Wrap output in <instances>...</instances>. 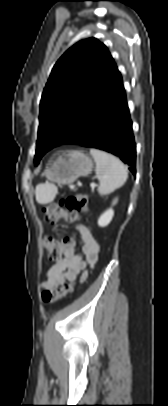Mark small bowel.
Masks as SVG:
<instances>
[{
    "instance_id": "obj_1",
    "label": "small bowel",
    "mask_w": 168,
    "mask_h": 406,
    "mask_svg": "<svg viewBox=\"0 0 168 406\" xmlns=\"http://www.w3.org/2000/svg\"><path fill=\"white\" fill-rule=\"evenodd\" d=\"M77 232L83 244V255H77L73 245L66 247L61 256L55 260L53 265L48 269L45 281L41 284L44 289L55 290L64 283L80 280L85 281L87 278L84 272L87 265L93 267L98 260L99 245L93 238L87 227L77 226ZM83 272L81 275L80 273Z\"/></svg>"
}]
</instances>
